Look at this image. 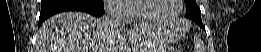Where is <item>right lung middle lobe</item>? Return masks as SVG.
Masks as SVG:
<instances>
[{"label": "right lung middle lobe", "instance_id": "right-lung-middle-lobe-1", "mask_svg": "<svg viewBox=\"0 0 261 52\" xmlns=\"http://www.w3.org/2000/svg\"><path fill=\"white\" fill-rule=\"evenodd\" d=\"M98 2H102L103 3V0H97Z\"/></svg>", "mask_w": 261, "mask_h": 52}]
</instances>
